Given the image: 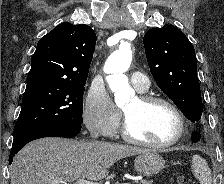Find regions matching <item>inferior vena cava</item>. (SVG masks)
Masks as SVG:
<instances>
[{
	"label": "inferior vena cava",
	"instance_id": "inferior-vena-cava-1",
	"mask_svg": "<svg viewBox=\"0 0 224 184\" xmlns=\"http://www.w3.org/2000/svg\"><path fill=\"white\" fill-rule=\"evenodd\" d=\"M90 133L92 138H97L99 136V131L97 130H92Z\"/></svg>",
	"mask_w": 224,
	"mask_h": 184
}]
</instances>
